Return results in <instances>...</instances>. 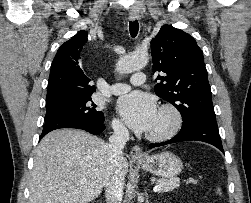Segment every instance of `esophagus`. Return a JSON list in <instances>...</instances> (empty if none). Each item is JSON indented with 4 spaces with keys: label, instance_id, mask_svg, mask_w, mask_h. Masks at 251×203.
I'll use <instances>...</instances> for the list:
<instances>
[{
    "label": "esophagus",
    "instance_id": "obj_1",
    "mask_svg": "<svg viewBox=\"0 0 251 203\" xmlns=\"http://www.w3.org/2000/svg\"><path fill=\"white\" fill-rule=\"evenodd\" d=\"M129 17H130L131 20L138 19L139 18L138 11L131 10L130 13H129ZM130 156H131L132 159H136V160H141V159H144V157H145L144 153L142 151V148L139 145H134L131 148Z\"/></svg>",
    "mask_w": 251,
    "mask_h": 203
}]
</instances>
